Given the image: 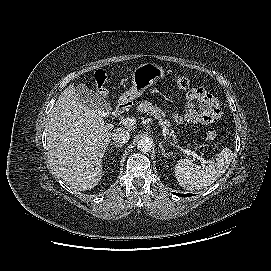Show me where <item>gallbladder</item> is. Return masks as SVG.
<instances>
[{"mask_svg":"<svg viewBox=\"0 0 271 271\" xmlns=\"http://www.w3.org/2000/svg\"><path fill=\"white\" fill-rule=\"evenodd\" d=\"M76 95L80 102L90 109L108 116L111 112V106L101 94L89 89L84 83H79L76 86Z\"/></svg>","mask_w":271,"mask_h":271,"instance_id":"obj_1","label":"gallbladder"}]
</instances>
